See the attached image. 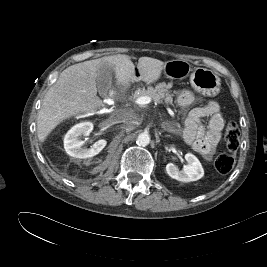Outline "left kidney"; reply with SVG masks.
Returning <instances> with one entry per match:
<instances>
[{"mask_svg":"<svg viewBox=\"0 0 267 267\" xmlns=\"http://www.w3.org/2000/svg\"><path fill=\"white\" fill-rule=\"evenodd\" d=\"M185 159L188 162L187 166H184L182 170H179L173 163L166 165L167 174L181 182L197 181L204 176L203 167L198 158L192 153H187Z\"/></svg>","mask_w":267,"mask_h":267,"instance_id":"left-kidney-1","label":"left kidney"}]
</instances>
